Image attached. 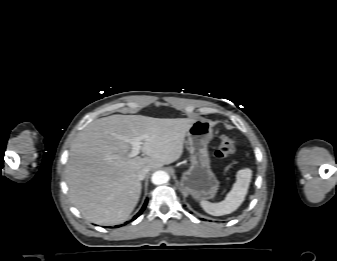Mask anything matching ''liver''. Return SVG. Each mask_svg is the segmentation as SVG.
<instances>
[{
    "label": "liver",
    "instance_id": "1",
    "mask_svg": "<svg viewBox=\"0 0 337 261\" xmlns=\"http://www.w3.org/2000/svg\"><path fill=\"white\" fill-rule=\"evenodd\" d=\"M190 118L115 114L94 120L74 139L65 169L72 204L90 222L117 225L128 219L141 195L138 172L178 160ZM142 140L145 157H131L125 139Z\"/></svg>",
    "mask_w": 337,
    "mask_h": 261
}]
</instances>
